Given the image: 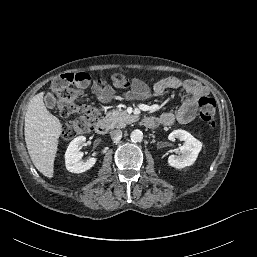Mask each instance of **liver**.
<instances>
[{"mask_svg": "<svg viewBox=\"0 0 257 257\" xmlns=\"http://www.w3.org/2000/svg\"><path fill=\"white\" fill-rule=\"evenodd\" d=\"M43 95V92L38 93L28 104L24 134L34 166L44 176L52 178L62 124L47 110Z\"/></svg>", "mask_w": 257, "mask_h": 257, "instance_id": "1", "label": "liver"}]
</instances>
